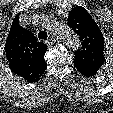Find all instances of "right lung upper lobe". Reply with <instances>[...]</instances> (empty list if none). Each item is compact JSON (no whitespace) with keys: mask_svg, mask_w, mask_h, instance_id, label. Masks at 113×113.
Instances as JSON below:
<instances>
[{"mask_svg":"<svg viewBox=\"0 0 113 113\" xmlns=\"http://www.w3.org/2000/svg\"><path fill=\"white\" fill-rule=\"evenodd\" d=\"M18 19L19 16L14 18L6 40V57L13 73L28 82H36L47 67L44 60L47 46L38 42L31 31L20 26Z\"/></svg>","mask_w":113,"mask_h":113,"instance_id":"right-lung-upper-lobe-1","label":"right lung upper lobe"}]
</instances>
